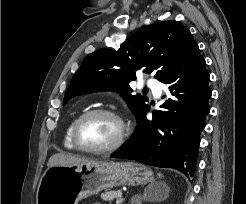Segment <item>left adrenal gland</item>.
Here are the masks:
<instances>
[{
    "mask_svg": "<svg viewBox=\"0 0 246 204\" xmlns=\"http://www.w3.org/2000/svg\"><path fill=\"white\" fill-rule=\"evenodd\" d=\"M145 198H146V191L143 194V196H141V195H135L134 197H132L131 204H136V203H138L139 201H141L142 199H145Z\"/></svg>",
    "mask_w": 246,
    "mask_h": 204,
    "instance_id": "1",
    "label": "left adrenal gland"
}]
</instances>
